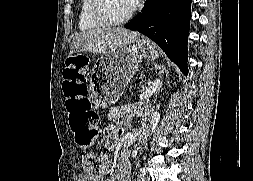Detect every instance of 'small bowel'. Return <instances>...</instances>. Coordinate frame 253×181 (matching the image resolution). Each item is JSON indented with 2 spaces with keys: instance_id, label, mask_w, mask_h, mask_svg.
Listing matches in <instances>:
<instances>
[{
  "instance_id": "1",
  "label": "small bowel",
  "mask_w": 253,
  "mask_h": 181,
  "mask_svg": "<svg viewBox=\"0 0 253 181\" xmlns=\"http://www.w3.org/2000/svg\"><path fill=\"white\" fill-rule=\"evenodd\" d=\"M87 59L83 58L80 62V67L83 71L87 68ZM130 111L129 107L121 106L112 109L108 115L110 121H115L116 119L125 116ZM121 131H119L115 126L110 125L108 127V135L106 138V146L108 148H115L119 141ZM107 175L110 176V181H130V168L126 161L119 160L117 163L107 162L104 169L97 175L82 174L80 176V181H101Z\"/></svg>"
}]
</instances>
